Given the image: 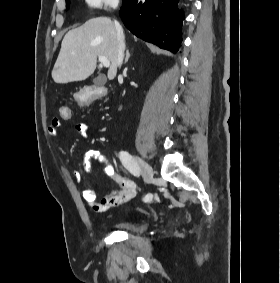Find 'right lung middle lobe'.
Returning <instances> with one entry per match:
<instances>
[{"label":"right lung middle lobe","mask_w":280,"mask_h":283,"mask_svg":"<svg viewBox=\"0 0 280 283\" xmlns=\"http://www.w3.org/2000/svg\"><path fill=\"white\" fill-rule=\"evenodd\" d=\"M70 6V0H66V9L68 10Z\"/></svg>","instance_id":"dd1d6c3e"}]
</instances>
